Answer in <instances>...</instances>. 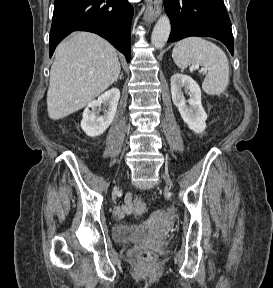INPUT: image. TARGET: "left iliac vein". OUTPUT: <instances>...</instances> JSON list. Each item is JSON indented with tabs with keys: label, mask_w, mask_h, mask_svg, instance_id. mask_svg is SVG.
Wrapping results in <instances>:
<instances>
[{
	"label": "left iliac vein",
	"mask_w": 273,
	"mask_h": 288,
	"mask_svg": "<svg viewBox=\"0 0 273 288\" xmlns=\"http://www.w3.org/2000/svg\"><path fill=\"white\" fill-rule=\"evenodd\" d=\"M163 178H164L166 184L168 185V187H169V188H172V187H173V183H172L169 175H168L167 173H164V174H163Z\"/></svg>",
	"instance_id": "4c4485c4"
}]
</instances>
